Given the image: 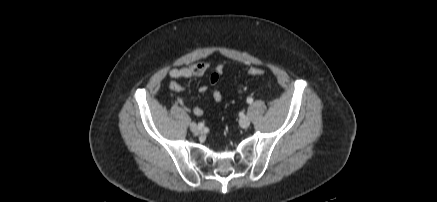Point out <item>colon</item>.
<instances>
[{"mask_svg": "<svg viewBox=\"0 0 437 202\" xmlns=\"http://www.w3.org/2000/svg\"><path fill=\"white\" fill-rule=\"evenodd\" d=\"M248 74L251 76H262L264 74V70L261 68H257V67H252L248 70Z\"/></svg>", "mask_w": 437, "mask_h": 202, "instance_id": "1", "label": "colon"}]
</instances>
